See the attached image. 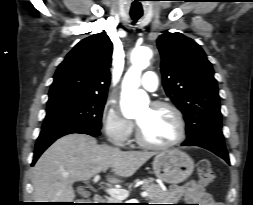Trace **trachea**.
<instances>
[{"label": "trachea", "mask_w": 253, "mask_h": 205, "mask_svg": "<svg viewBox=\"0 0 253 205\" xmlns=\"http://www.w3.org/2000/svg\"><path fill=\"white\" fill-rule=\"evenodd\" d=\"M130 16L132 18V20L134 21L133 23H135L141 16L142 14H137V13H130Z\"/></svg>", "instance_id": "trachea-1"}]
</instances>
